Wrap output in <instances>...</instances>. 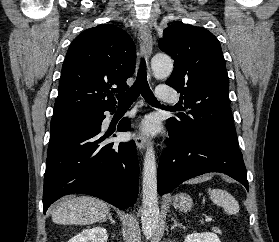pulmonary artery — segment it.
<instances>
[{
	"label": "pulmonary artery",
	"mask_w": 279,
	"mask_h": 242,
	"mask_svg": "<svg viewBox=\"0 0 279 242\" xmlns=\"http://www.w3.org/2000/svg\"><path fill=\"white\" fill-rule=\"evenodd\" d=\"M156 95L157 98L162 102L175 103L177 101V96L175 95L172 87L169 85L158 86Z\"/></svg>",
	"instance_id": "obj_1"
}]
</instances>
